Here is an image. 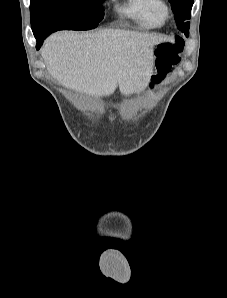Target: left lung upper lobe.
Returning <instances> with one entry per match:
<instances>
[{
  "mask_svg": "<svg viewBox=\"0 0 227 298\" xmlns=\"http://www.w3.org/2000/svg\"><path fill=\"white\" fill-rule=\"evenodd\" d=\"M169 2L171 3L178 29L188 37L190 23L186 20L191 18L193 0H169Z\"/></svg>",
  "mask_w": 227,
  "mask_h": 298,
  "instance_id": "1",
  "label": "left lung upper lobe"
}]
</instances>
